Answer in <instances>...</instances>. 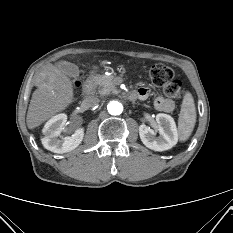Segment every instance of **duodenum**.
I'll return each mask as SVG.
<instances>
[{
  "instance_id": "duodenum-1",
  "label": "duodenum",
  "mask_w": 233,
  "mask_h": 233,
  "mask_svg": "<svg viewBox=\"0 0 233 233\" xmlns=\"http://www.w3.org/2000/svg\"><path fill=\"white\" fill-rule=\"evenodd\" d=\"M92 77H93V74H91L88 79L86 80V82L84 83V86H83V93L85 95V97H90L91 94H92V90H93V85H92ZM128 97L130 100H135L138 98V95L136 92H130L128 94Z\"/></svg>"
}]
</instances>
